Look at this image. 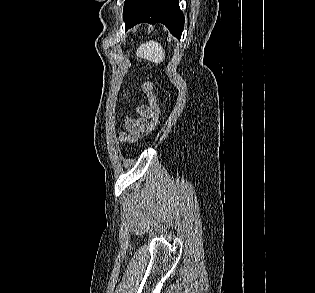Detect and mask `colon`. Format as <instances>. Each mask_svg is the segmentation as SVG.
I'll return each instance as SVG.
<instances>
[{
	"instance_id": "obj_1",
	"label": "colon",
	"mask_w": 315,
	"mask_h": 293,
	"mask_svg": "<svg viewBox=\"0 0 315 293\" xmlns=\"http://www.w3.org/2000/svg\"><path fill=\"white\" fill-rule=\"evenodd\" d=\"M142 90L144 92V94L147 96L148 98V102H149V107H150V118L148 120V126L146 128L145 133L148 134L150 132H152V130L154 129V127H159L160 122L158 120V116L160 114V107L159 105H157V99H156V95H155V91H154V85L153 82L150 80H147L143 83L142 85Z\"/></svg>"
}]
</instances>
